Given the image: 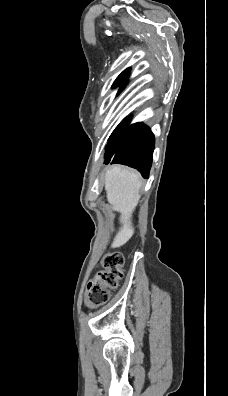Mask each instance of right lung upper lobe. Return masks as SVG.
<instances>
[{
    "label": "right lung upper lobe",
    "mask_w": 228,
    "mask_h": 396,
    "mask_svg": "<svg viewBox=\"0 0 228 396\" xmlns=\"http://www.w3.org/2000/svg\"><path fill=\"white\" fill-rule=\"evenodd\" d=\"M128 72H129V69L124 70V71L119 75V77L127 76V75H128Z\"/></svg>",
    "instance_id": "1"
}]
</instances>
